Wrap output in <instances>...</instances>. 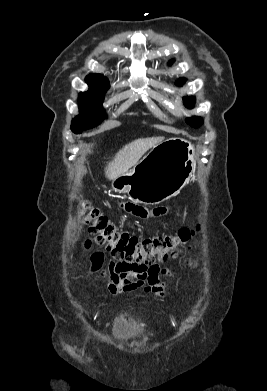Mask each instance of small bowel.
I'll list each match as a JSON object with an SVG mask.
<instances>
[{
  "label": "small bowel",
  "instance_id": "obj_1",
  "mask_svg": "<svg viewBox=\"0 0 267 391\" xmlns=\"http://www.w3.org/2000/svg\"><path fill=\"white\" fill-rule=\"evenodd\" d=\"M121 208L141 218L158 217L167 212L164 207L149 210L132 202L122 203ZM102 262V254H93L91 258L92 270H100ZM101 273L107 278L109 289L114 294L142 290L145 293H152L156 297H162L167 291V286L161 279L166 275V271H161L159 268L146 270L137 265L110 262L107 269Z\"/></svg>",
  "mask_w": 267,
  "mask_h": 391
}]
</instances>
